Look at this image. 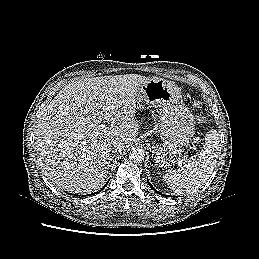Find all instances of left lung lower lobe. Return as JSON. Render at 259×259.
I'll use <instances>...</instances> for the list:
<instances>
[{
    "instance_id": "left-lung-lower-lobe-1",
    "label": "left lung lower lobe",
    "mask_w": 259,
    "mask_h": 259,
    "mask_svg": "<svg viewBox=\"0 0 259 259\" xmlns=\"http://www.w3.org/2000/svg\"><path fill=\"white\" fill-rule=\"evenodd\" d=\"M147 181H148V179H147ZM148 184H149V186H150V187H151V188H152L156 193H158V194L162 195L160 192H158L157 190H155V189H154V187H152V186H151V184H150V182H149V181H148Z\"/></svg>"
}]
</instances>
